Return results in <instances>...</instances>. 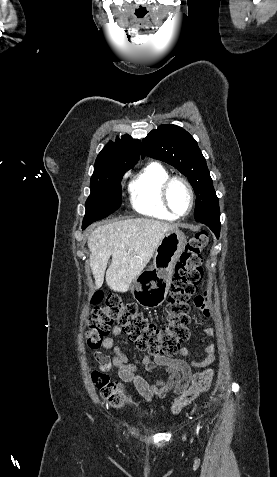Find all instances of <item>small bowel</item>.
<instances>
[{"label":"small bowel","mask_w":277,"mask_h":477,"mask_svg":"<svg viewBox=\"0 0 277 477\" xmlns=\"http://www.w3.org/2000/svg\"><path fill=\"white\" fill-rule=\"evenodd\" d=\"M194 304L203 311L206 317L211 315L207 293L197 296ZM121 333V327L115 326L111 331V335L106 337L101 343L102 348L113 351L111 360L100 351H95L94 357L100 365L110 367L112 364L117 369L118 377L123 382L132 383L139 394L148 401L154 397L163 398L170 392L176 395L182 394L190 383L193 375L192 370L206 368L216 358V346L209 344L202 347V351L206 356L200 361L190 359L188 362L180 358L164 355H155L153 359L145 355L140 359L131 361L121 348L115 345V338ZM201 335L215 338L216 332L213 328L206 327L202 330ZM178 354L190 358V352L187 348L179 349ZM140 367H144L148 373H154L158 368H163L169 374V377L167 381L157 379L155 383H150L144 376L137 373Z\"/></svg>","instance_id":"1"}]
</instances>
